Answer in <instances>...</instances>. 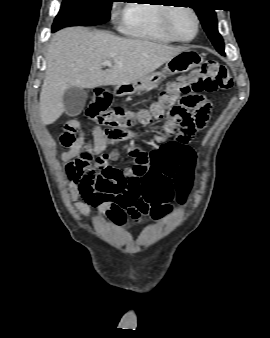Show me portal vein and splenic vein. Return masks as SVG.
Returning a JSON list of instances; mask_svg holds the SVG:
<instances>
[{
  "label": "portal vein and splenic vein",
  "mask_w": 270,
  "mask_h": 338,
  "mask_svg": "<svg viewBox=\"0 0 270 338\" xmlns=\"http://www.w3.org/2000/svg\"><path fill=\"white\" fill-rule=\"evenodd\" d=\"M103 66H112V63L110 60H106L102 63Z\"/></svg>",
  "instance_id": "1"
}]
</instances>
